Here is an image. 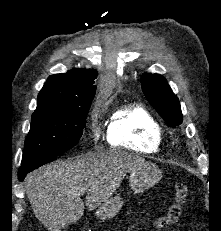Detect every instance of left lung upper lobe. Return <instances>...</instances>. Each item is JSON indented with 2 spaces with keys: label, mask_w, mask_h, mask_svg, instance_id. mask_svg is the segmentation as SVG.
<instances>
[{
  "label": "left lung upper lobe",
  "mask_w": 221,
  "mask_h": 231,
  "mask_svg": "<svg viewBox=\"0 0 221 231\" xmlns=\"http://www.w3.org/2000/svg\"><path fill=\"white\" fill-rule=\"evenodd\" d=\"M141 86L149 103L168 125L177 126L182 123L183 116L179 100L163 76L143 74Z\"/></svg>",
  "instance_id": "obj_1"
}]
</instances>
